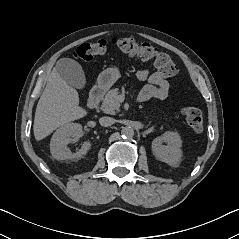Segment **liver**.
Returning a JSON list of instances; mask_svg holds the SVG:
<instances>
[{
  "label": "liver",
  "mask_w": 239,
  "mask_h": 239,
  "mask_svg": "<svg viewBox=\"0 0 239 239\" xmlns=\"http://www.w3.org/2000/svg\"><path fill=\"white\" fill-rule=\"evenodd\" d=\"M86 114L87 111L79 106L78 92L54 68L36 107L33 124L35 139L42 140L58 127Z\"/></svg>",
  "instance_id": "obj_1"
}]
</instances>
